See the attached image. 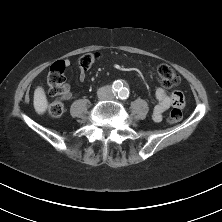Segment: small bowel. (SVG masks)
<instances>
[{
	"label": "small bowel",
	"mask_w": 222,
	"mask_h": 222,
	"mask_svg": "<svg viewBox=\"0 0 222 222\" xmlns=\"http://www.w3.org/2000/svg\"><path fill=\"white\" fill-rule=\"evenodd\" d=\"M66 65H70L69 61H66ZM80 81L86 79V73L84 70L79 72ZM155 96L158 103L155 105L152 111V118L155 122H160L162 120L163 114L169 109L173 108L175 110H180L185 105V97L181 91L175 90L168 94L162 88H158L155 92ZM64 100H71L73 98V93L69 84H65V92L62 97Z\"/></svg>",
	"instance_id": "obj_1"
}]
</instances>
